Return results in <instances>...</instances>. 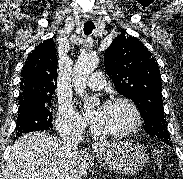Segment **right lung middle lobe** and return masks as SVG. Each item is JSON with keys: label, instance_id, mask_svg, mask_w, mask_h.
Returning <instances> with one entry per match:
<instances>
[{"label": "right lung middle lobe", "instance_id": "obj_1", "mask_svg": "<svg viewBox=\"0 0 183 179\" xmlns=\"http://www.w3.org/2000/svg\"><path fill=\"white\" fill-rule=\"evenodd\" d=\"M51 99L52 96L19 100L16 138L23 133L48 130L52 127V112L49 111Z\"/></svg>", "mask_w": 183, "mask_h": 179}]
</instances>
